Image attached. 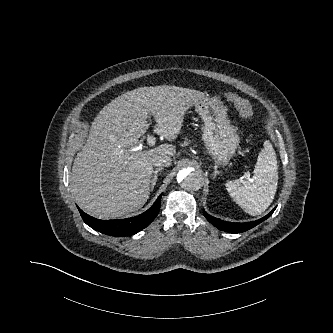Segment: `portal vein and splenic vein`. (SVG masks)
Listing matches in <instances>:
<instances>
[{"mask_svg": "<svg viewBox=\"0 0 333 333\" xmlns=\"http://www.w3.org/2000/svg\"><path fill=\"white\" fill-rule=\"evenodd\" d=\"M147 142H148L149 145H154L155 142H156V138H155L154 136H148V138H147ZM141 148H142L141 146H138V147H136L135 149H136V150H139V149H141Z\"/></svg>", "mask_w": 333, "mask_h": 333, "instance_id": "18ae733b", "label": "portal vein and splenic vein"}]
</instances>
